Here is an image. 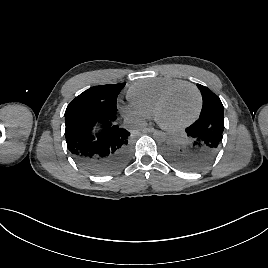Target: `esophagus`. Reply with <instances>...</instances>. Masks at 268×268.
<instances>
[{"instance_id":"34e87169","label":"esophagus","mask_w":268,"mask_h":268,"mask_svg":"<svg viewBox=\"0 0 268 268\" xmlns=\"http://www.w3.org/2000/svg\"><path fill=\"white\" fill-rule=\"evenodd\" d=\"M142 131L144 133H154V132H157L156 129H154L153 127H146V128H143Z\"/></svg>"}]
</instances>
